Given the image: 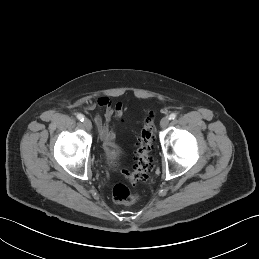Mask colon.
Masks as SVG:
<instances>
[{"label": "colon", "instance_id": "obj_1", "mask_svg": "<svg viewBox=\"0 0 259 259\" xmlns=\"http://www.w3.org/2000/svg\"><path fill=\"white\" fill-rule=\"evenodd\" d=\"M154 119V112L149 111L145 117L143 129L137 139L134 169L131 172H123L124 177L132 185H136L138 182L145 179L151 170L152 159L150 153L155 140ZM112 198L114 202L119 204H131L139 198V195L136 192H132L124 184H116L112 189Z\"/></svg>", "mask_w": 259, "mask_h": 259}]
</instances>
